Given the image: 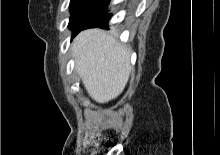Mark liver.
Masks as SVG:
<instances>
[{
  "mask_svg": "<svg viewBox=\"0 0 220 155\" xmlns=\"http://www.w3.org/2000/svg\"><path fill=\"white\" fill-rule=\"evenodd\" d=\"M75 69L90 97L98 103L117 98L129 74L130 49L100 29L82 31L73 41Z\"/></svg>",
  "mask_w": 220,
  "mask_h": 155,
  "instance_id": "obj_1",
  "label": "liver"
}]
</instances>
